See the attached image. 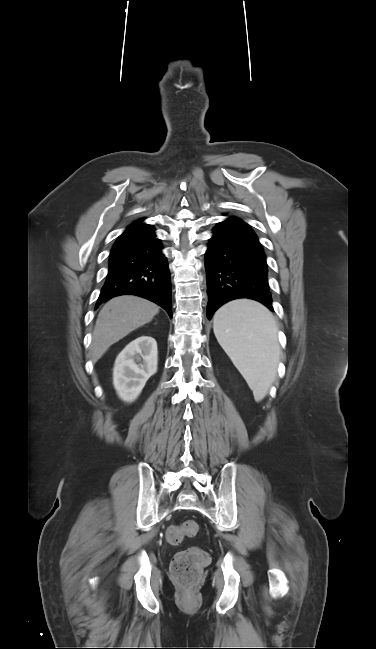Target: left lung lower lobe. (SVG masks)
<instances>
[{"instance_id":"obj_1","label":"left lung lower lobe","mask_w":376,"mask_h":649,"mask_svg":"<svg viewBox=\"0 0 376 649\" xmlns=\"http://www.w3.org/2000/svg\"><path fill=\"white\" fill-rule=\"evenodd\" d=\"M205 266L209 320L220 306L237 298L254 299L273 311L266 255L245 222L232 217L214 227Z\"/></svg>"}]
</instances>
